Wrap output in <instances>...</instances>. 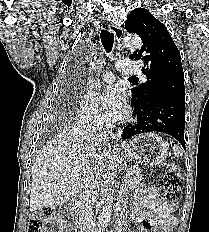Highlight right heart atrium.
<instances>
[{"mask_svg":"<svg viewBox=\"0 0 209 232\" xmlns=\"http://www.w3.org/2000/svg\"><path fill=\"white\" fill-rule=\"evenodd\" d=\"M76 124L85 130H95L106 124V119L98 109L95 101L85 96L80 101L74 115Z\"/></svg>","mask_w":209,"mask_h":232,"instance_id":"right-heart-atrium-1","label":"right heart atrium"}]
</instances>
